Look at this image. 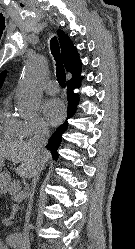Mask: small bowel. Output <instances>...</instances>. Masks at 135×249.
<instances>
[{"instance_id": "1", "label": "small bowel", "mask_w": 135, "mask_h": 249, "mask_svg": "<svg viewBox=\"0 0 135 249\" xmlns=\"http://www.w3.org/2000/svg\"><path fill=\"white\" fill-rule=\"evenodd\" d=\"M0 249H6V247L3 246L1 242H0Z\"/></svg>"}]
</instances>
